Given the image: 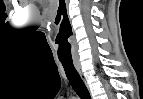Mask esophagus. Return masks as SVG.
Listing matches in <instances>:
<instances>
[{
    "mask_svg": "<svg viewBox=\"0 0 143 99\" xmlns=\"http://www.w3.org/2000/svg\"><path fill=\"white\" fill-rule=\"evenodd\" d=\"M74 66H75L77 72L79 73L80 77L82 78V80L85 82V78H84V75H83V72H82L79 62L74 61Z\"/></svg>",
    "mask_w": 143,
    "mask_h": 99,
    "instance_id": "34e87169",
    "label": "esophagus"
}]
</instances>
